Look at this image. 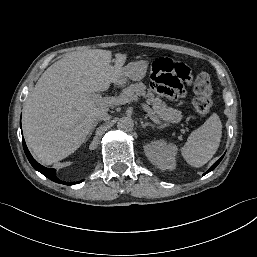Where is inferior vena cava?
Segmentation results:
<instances>
[{"label": "inferior vena cava", "instance_id": "inferior-vena-cava-1", "mask_svg": "<svg viewBox=\"0 0 257 257\" xmlns=\"http://www.w3.org/2000/svg\"><path fill=\"white\" fill-rule=\"evenodd\" d=\"M111 116L107 112H100L96 115L97 120L109 121Z\"/></svg>", "mask_w": 257, "mask_h": 257}]
</instances>
